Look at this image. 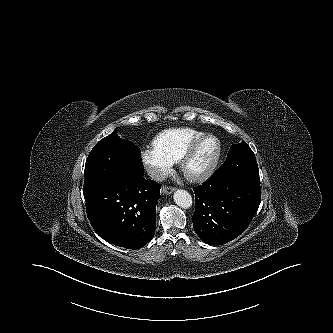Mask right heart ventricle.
Segmentation results:
<instances>
[{"mask_svg": "<svg viewBox=\"0 0 333 333\" xmlns=\"http://www.w3.org/2000/svg\"><path fill=\"white\" fill-rule=\"evenodd\" d=\"M204 134L191 128L169 129L154 139L153 149L173 163L179 162L189 146Z\"/></svg>", "mask_w": 333, "mask_h": 333, "instance_id": "obj_1", "label": "right heart ventricle"}]
</instances>
